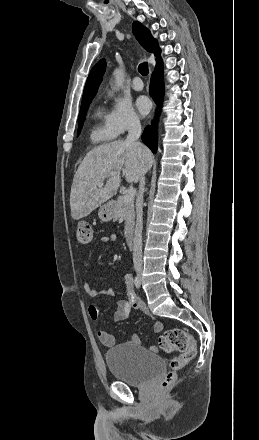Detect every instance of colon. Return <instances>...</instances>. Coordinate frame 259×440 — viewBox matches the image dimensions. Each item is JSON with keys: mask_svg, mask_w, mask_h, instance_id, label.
I'll return each mask as SVG.
<instances>
[{"mask_svg": "<svg viewBox=\"0 0 259 440\" xmlns=\"http://www.w3.org/2000/svg\"><path fill=\"white\" fill-rule=\"evenodd\" d=\"M94 237L92 226L87 222H81L76 229L77 241L86 245L89 244ZM160 346L166 352H180L170 362L171 371L167 373L159 388L165 390L173 385L176 380V372L182 369L196 355L197 348L193 337L183 329L173 328L167 330L159 339Z\"/></svg>", "mask_w": 259, "mask_h": 440, "instance_id": "colon-1", "label": "colon"}]
</instances>
